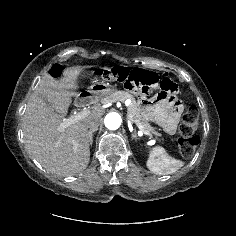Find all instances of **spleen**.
Instances as JSON below:
<instances>
[{
  "label": "spleen",
  "instance_id": "3e777b00",
  "mask_svg": "<svg viewBox=\"0 0 236 236\" xmlns=\"http://www.w3.org/2000/svg\"><path fill=\"white\" fill-rule=\"evenodd\" d=\"M184 165L179 159L168 155L162 147H154L146 161V166L155 174H172Z\"/></svg>",
  "mask_w": 236,
  "mask_h": 236
}]
</instances>
